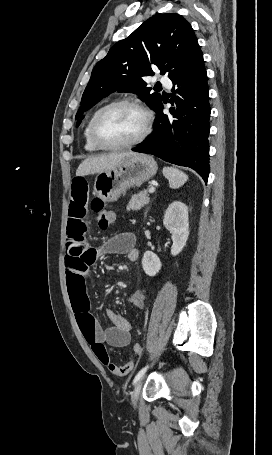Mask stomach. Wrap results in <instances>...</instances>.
I'll use <instances>...</instances> for the list:
<instances>
[{"label":"stomach","mask_w":272,"mask_h":455,"mask_svg":"<svg viewBox=\"0 0 272 455\" xmlns=\"http://www.w3.org/2000/svg\"><path fill=\"white\" fill-rule=\"evenodd\" d=\"M157 172V163L147 154L136 153L127 157L117 167L98 173L94 193L104 202H114L128 188L139 186Z\"/></svg>","instance_id":"0dacf381"}]
</instances>
